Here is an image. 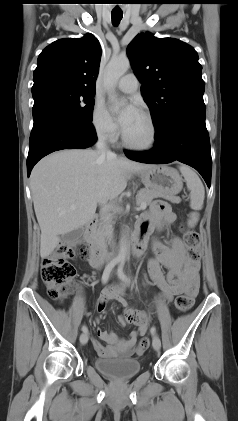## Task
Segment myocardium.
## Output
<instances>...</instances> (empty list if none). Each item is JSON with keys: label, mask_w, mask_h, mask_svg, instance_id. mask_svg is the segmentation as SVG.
<instances>
[{"label": "myocardium", "mask_w": 238, "mask_h": 421, "mask_svg": "<svg viewBox=\"0 0 238 421\" xmlns=\"http://www.w3.org/2000/svg\"><path fill=\"white\" fill-rule=\"evenodd\" d=\"M139 113L147 120L149 127H150V139L147 143L145 144H134L132 142H130L125 133L124 130H121V139H122V143L123 145L133 151H139V152H145V151H150L152 150L157 142V127H156V123L152 117V115L145 111V110H140Z\"/></svg>", "instance_id": "myocardium-1"}]
</instances>
